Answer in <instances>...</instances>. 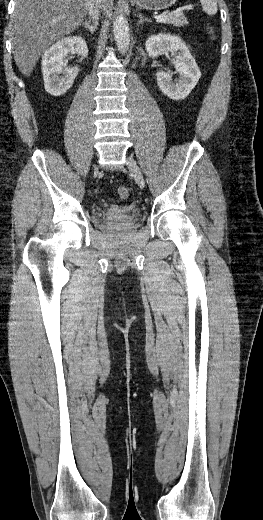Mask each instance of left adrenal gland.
<instances>
[{
  "label": "left adrenal gland",
  "instance_id": "left-adrenal-gland-1",
  "mask_svg": "<svg viewBox=\"0 0 263 520\" xmlns=\"http://www.w3.org/2000/svg\"><path fill=\"white\" fill-rule=\"evenodd\" d=\"M138 17H139V21L137 23V25L139 26L140 24H142L144 21H147V22H150V19L148 18H144L143 15L141 13L138 14Z\"/></svg>",
  "mask_w": 263,
  "mask_h": 520
}]
</instances>
